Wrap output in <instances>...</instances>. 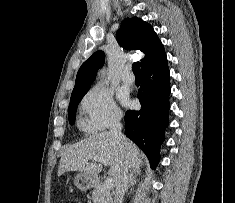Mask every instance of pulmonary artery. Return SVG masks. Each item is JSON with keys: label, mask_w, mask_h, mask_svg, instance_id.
<instances>
[{"label": "pulmonary artery", "mask_w": 235, "mask_h": 203, "mask_svg": "<svg viewBox=\"0 0 235 203\" xmlns=\"http://www.w3.org/2000/svg\"><path fill=\"white\" fill-rule=\"evenodd\" d=\"M121 79L124 83L131 85L134 83L135 78L134 75L131 72V67L130 66H126L122 75H121Z\"/></svg>", "instance_id": "pulmonary-artery-1"}]
</instances>
